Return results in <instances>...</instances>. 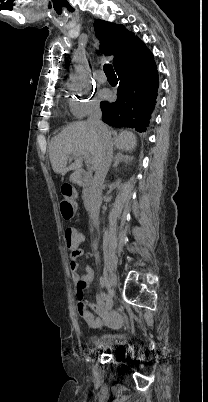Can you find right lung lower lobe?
Masks as SVG:
<instances>
[{
  "label": "right lung lower lobe",
  "instance_id": "98d812e1",
  "mask_svg": "<svg viewBox=\"0 0 208 402\" xmlns=\"http://www.w3.org/2000/svg\"><path fill=\"white\" fill-rule=\"evenodd\" d=\"M115 70L120 79L114 103L101 102L103 122L113 127L146 131L158 96V71L152 52L137 37L117 58Z\"/></svg>",
  "mask_w": 208,
  "mask_h": 402
}]
</instances>
